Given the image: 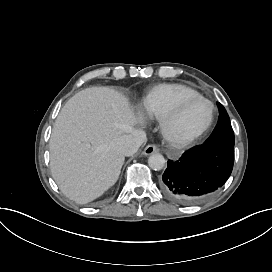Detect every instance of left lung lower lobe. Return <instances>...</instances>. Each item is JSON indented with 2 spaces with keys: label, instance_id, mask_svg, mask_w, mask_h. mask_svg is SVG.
Masks as SVG:
<instances>
[{
  "label": "left lung lower lobe",
  "instance_id": "0a47b994",
  "mask_svg": "<svg viewBox=\"0 0 272 272\" xmlns=\"http://www.w3.org/2000/svg\"><path fill=\"white\" fill-rule=\"evenodd\" d=\"M234 163V148L219 145L195 146L168 168L160 188L175 203L196 204L211 196L229 178Z\"/></svg>",
  "mask_w": 272,
  "mask_h": 272
}]
</instances>
